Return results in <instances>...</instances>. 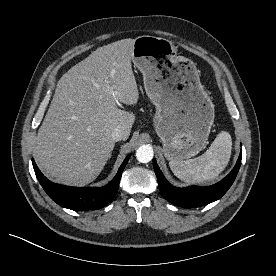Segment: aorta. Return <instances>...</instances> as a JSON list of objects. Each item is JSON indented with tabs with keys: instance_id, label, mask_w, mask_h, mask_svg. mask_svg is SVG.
I'll list each match as a JSON object with an SVG mask.
<instances>
[{
	"instance_id": "1",
	"label": "aorta",
	"mask_w": 276,
	"mask_h": 276,
	"mask_svg": "<svg viewBox=\"0 0 276 276\" xmlns=\"http://www.w3.org/2000/svg\"><path fill=\"white\" fill-rule=\"evenodd\" d=\"M136 158L141 163H148L153 158V149L150 145H142L136 151Z\"/></svg>"
}]
</instances>
